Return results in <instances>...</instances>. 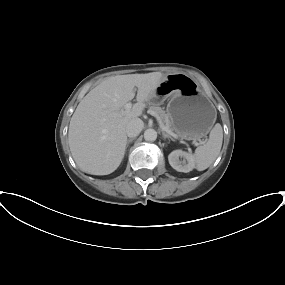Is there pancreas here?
I'll return each mask as SVG.
<instances>
[{
    "label": "pancreas",
    "mask_w": 285,
    "mask_h": 285,
    "mask_svg": "<svg viewBox=\"0 0 285 285\" xmlns=\"http://www.w3.org/2000/svg\"><path fill=\"white\" fill-rule=\"evenodd\" d=\"M149 109H150V111H154L159 115V117L161 118V120L165 126H167L171 131H175L173 126H172L170 117H169L168 113H166V111H164L161 107L155 106V105L150 106Z\"/></svg>",
    "instance_id": "cf45deb5"
}]
</instances>
